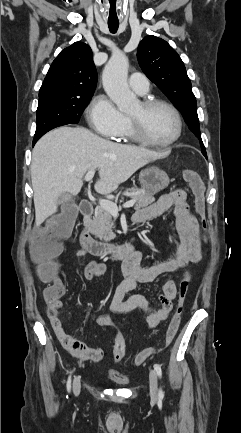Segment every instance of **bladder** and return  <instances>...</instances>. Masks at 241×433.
<instances>
[{
    "label": "bladder",
    "instance_id": "bladder-1",
    "mask_svg": "<svg viewBox=\"0 0 241 433\" xmlns=\"http://www.w3.org/2000/svg\"><path fill=\"white\" fill-rule=\"evenodd\" d=\"M109 379L117 386H127L129 384V378L125 375L119 374L116 371H110L108 373Z\"/></svg>",
    "mask_w": 241,
    "mask_h": 433
}]
</instances>
